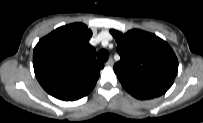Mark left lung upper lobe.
I'll return each mask as SVG.
<instances>
[{
    "label": "left lung upper lobe",
    "instance_id": "left-lung-upper-lobe-1",
    "mask_svg": "<svg viewBox=\"0 0 203 123\" xmlns=\"http://www.w3.org/2000/svg\"><path fill=\"white\" fill-rule=\"evenodd\" d=\"M110 33L116 39L121 58L113 69L125 90L156 97L172 86L178 60L167 42L139 29Z\"/></svg>",
    "mask_w": 203,
    "mask_h": 123
}]
</instances>
